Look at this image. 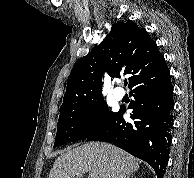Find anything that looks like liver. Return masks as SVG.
<instances>
[{
  "label": "liver",
  "mask_w": 194,
  "mask_h": 178,
  "mask_svg": "<svg viewBox=\"0 0 194 178\" xmlns=\"http://www.w3.org/2000/svg\"><path fill=\"white\" fill-rule=\"evenodd\" d=\"M141 161L114 145L92 142L61 154L49 178H126L139 169Z\"/></svg>",
  "instance_id": "liver-1"
}]
</instances>
